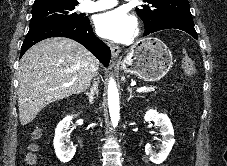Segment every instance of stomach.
<instances>
[{"mask_svg": "<svg viewBox=\"0 0 227 166\" xmlns=\"http://www.w3.org/2000/svg\"><path fill=\"white\" fill-rule=\"evenodd\" d=\"M172 54L158 38L148 37L136 42L122 62L125 73L144 81L162 79L172 67Z\"/></svg>", "mask_w": 227, "mask_h": 166, "instance_id": "obj_1", "label": "stomach"}]
</instances>
